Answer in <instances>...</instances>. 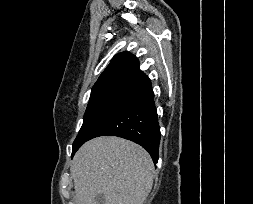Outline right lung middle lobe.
Listing matches in <instances>:
<instances>
[{"label":"right lung middle lobe","instance_id":"1","mask_svg":"<svg viewBox=\"0 0 253 204\" xmlns=\"http://www.w3.org/2000/svg\"><path fill=\"white\" fill-rule=\"evenodd\" d=\"M138 85L137 82L124 81L92 89L83 125L73 143L72 156Z\"/></svg>","mask_w":253,"mask_h":204}]
</instances>
